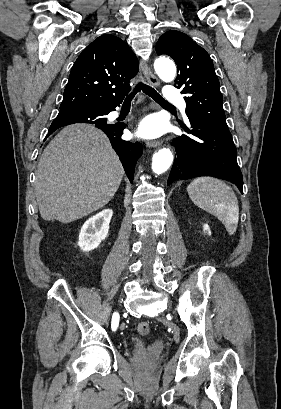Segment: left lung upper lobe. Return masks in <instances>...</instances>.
Wrapping results in <instances>:
<instances>
[{
    "instance_id": "left-lung-upper-lobe-1",
    "label": "left lung upper lobe",
    "mask_w": 281,
    "mask_h": 409,
    "mask_svg": "<svg viewBox=\"0 0 281 409\" xmlns=\"http://www.w3.org/2000/svg\"><path fill=\"white\" fill-rule=\"evenodd\" d=\"M156 52L171 56L177 64L180 73L175 86L185 94L187 116L228 128L219 80L208 53L188 35L176 30L159 38Z\"/></svg>"
}]
</instances>
